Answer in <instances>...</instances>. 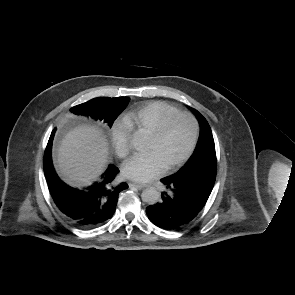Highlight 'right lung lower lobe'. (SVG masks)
Here are the masks:
<instances>
[{"label": "right lung lower lobe", "instance_id": "obj_1", "mask_svg": "<svg viewBox=\"0 0 295 295\" xmlns=\"http://www.w3.org/2000/svg\"><path fill=\"white\" fill-rule=\"evenodd\" d=\"M54 134L55 129L48 141L44 159L51 158ZM118 172L119 169L110 164L99 181L83 189L68 186L57 176L54 168L44 174L50 193L66 218L80 228H93L112 217L119 192L128 188L126 183L117 181Z\"/></svg>", "mask_w": 295, "mask_h": 295}]
</instances>
